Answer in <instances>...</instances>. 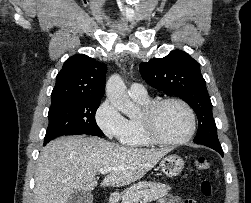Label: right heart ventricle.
<instances>
[{"instance_id":"e07e8e85","label":"right heart ventricle","mask_w":251,"mask_h":203,"mask_svg":"<svg viewBox=\"0 0 251 203\" xmlns=\"http://www.w3.org/2000/svg\"><path fill=\"white\" fill-rule=\"evenodd\" d=\"M136 101L142 106H147L150 103L149 98ZM120 141L124 146L132 148L146 147L151 144L142 131L140 118H130L127 120V127Z\"/></svg>"}]
</instances>
